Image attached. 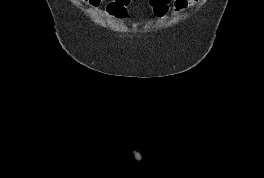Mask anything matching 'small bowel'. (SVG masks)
Listing matches in <instances>:
<instances>
[{
    "label": "small bowel",
    "mask_w": 264,
    "mask_h": 178,
    "mask_svg": "<svg viewBox=\"0 0 264 178\" xmlns=\"http://www.w3.org/2000/svg\"><path fill=\"white\" fill-rule=\"evenodd\" d=\"M88 7L97 9L105 0H80ZM199 0H171L170 8L175 14L182 13L194 6Z\"/></svg>",
    "instance_id": "obj_1"
}]
</instances>
